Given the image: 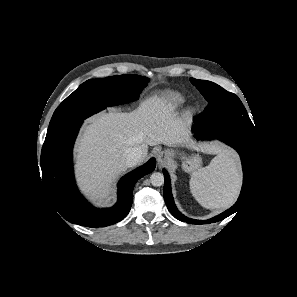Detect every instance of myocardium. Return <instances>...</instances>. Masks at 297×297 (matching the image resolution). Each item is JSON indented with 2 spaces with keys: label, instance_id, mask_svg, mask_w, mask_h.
I'll list each match as a JSON object with an SVG mask.
<instances>
[{
  "label": "myocardium",
  "instance_id": "f54148a6",
  "mask_svg": "<svg viewBox=\"0 0 297 297\" xmlns=\"http://www.w3.org/2000/svg\"><path fill=\"white\" fill-rule=\"evenodd\" d=\"M195 110L193 108H189L186 112L187 116L190 117L194 114Z\"/></svg>",
  "mask_w": 297,
  "mask_h": 297
}]
</instances>
